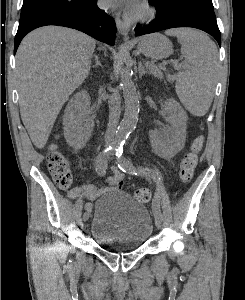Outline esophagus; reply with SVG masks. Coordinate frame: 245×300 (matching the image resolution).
I'll list each match as a JSON object with an SVG mask.
<instances>
[{"mask_svg":"<svg viewBox=\"0 0 245 300\" xmlns=\"http://www.w3.org/2000/svg\"><path fill=\"white\" fill-rule=\"evenodd\" d=\"M115 23L119 33L124 37L125 40L129 39V31H130V24L127 22L122 21L119 17L115 18Z\"/></svg>","mask_w":245,"mask_h":300,"instance_id":"obj_1","label":"esophagus"}]
</instances>
